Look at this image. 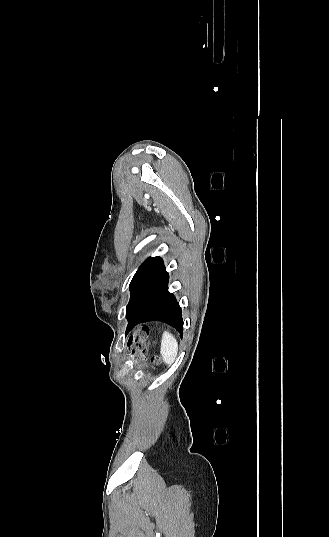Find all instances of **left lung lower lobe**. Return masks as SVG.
Wrapping results in <instances>:
<instances>
[{
    "mask_svg": "<svg viewBox=\"0 0 329 537\" xmlns=\"http://www.w3.org/2000/svg\"><path fill=\"white\" fill-rule=\"evenodd\" d=\"M169 275L164 269L144 291L140 301L126 314L128 333L136 325L152 321L165 322L183 334L182 310L168 291Z\"/></svg>",
    "mask_w": 329,
    "mask_h": 537,
    "instance_id": "left-lung-lower-lobe-1",
    "label": "left lung lower lobe"
}]
</instances>
